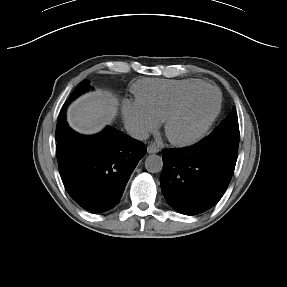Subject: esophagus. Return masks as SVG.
<instances>
[{
    "mask_svg": "<svg viewBox=\"0 0 287 287\" xmlns=\"http://www.w3.org/2000/svg\"><path fill=\"white\" fill-rule=\"evenodd\" d=\"M159 151H160V149H159V147L156 144H150L147 147V152L149 154H151V153H158Z\"/></svg>",
    "mask_w": 287,
    "mask_h": 287,
    "instance_id": "obj_1",
    "label": "esophagus"
}]
</instances>
